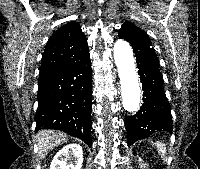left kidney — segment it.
<instances>
[{
  "mask_svg": "<svg viewBox=\"0 0 200 169\" xmlns=\"http://www.w3.org/2000/svg\"><path fill=\"white\" fill-rule=\"evenodd\" d=\"M139 161L141 162L142 160L139 158ZM143 166L145 167V165L142 164L141 167H143Z\"/></svg>",
  "mask_w": 200,
  "mask_h": 169,
  "instance_id": "left-kidney-1",
  "label": "left kidney"
}]
</instances>
